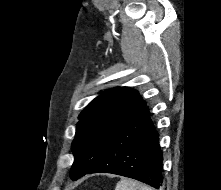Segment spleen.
Here are the masks:
<instances>
[{"instance_id":"1","label":"spleen","mask_w":221,"mask_h":190,"mask_svg":"<svg viewBox=\"0 0 221 190\" xmlns=\"http://www.w3.org/2000/svg\"><path fill=\"white\" fill-rule=\"evenodd\" d=\"M115 190H153L137 181L124 179L117 183Z\"/></svg>"}]
</instances>
